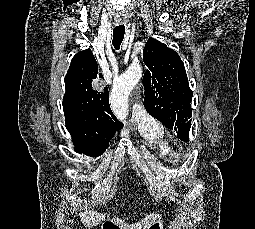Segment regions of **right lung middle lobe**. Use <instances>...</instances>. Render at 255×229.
I'll return each mask as SVG.
<instances>
[{
	"mask_svg": "<svg viewBox=\"0 0 255 229\" xmlns=\"http://www.w3.org/2000/svg\"><path fill=\"white\" fill-rule=\"evenodd\" d=\"M75 145L74 151L80 154L97 157L102 155L109 146L110 139L77 138L72 137Z\"/></svg>",
	"mask_w": 255,
	"mask_h": 229,
	"instance_id": "obj_1",
	"label": "right lung middle lobe"
}]
</instances>
